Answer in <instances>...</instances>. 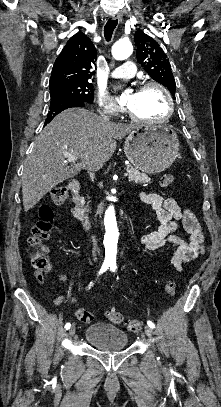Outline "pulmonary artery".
I'll return each mask as SVG.
<instances>
[{"label":"pulmonary artery","mask_w":221,"mask_h":407,"mask_svg":"<svg viewBox=\"0 0 221 407\" xmlns=\"http://www.w3.org/2000/svg\"><path fill=\"white\" fill-rule=\"evenodd\" d=\"M135 74V64L132 61L126 60L124 63L115 68L111 72V76L114 78H130Z\"/></svg>","instance_id":"obj_1"}]
</instances>
